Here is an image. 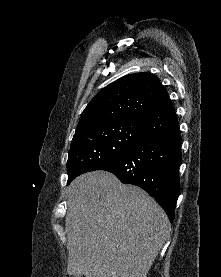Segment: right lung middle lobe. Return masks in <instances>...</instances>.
Masks as SVG:
<instances>
[{
    "label": "right lung middle lobe",
    "instance_id": "1",
    "mask_svg": "<svg viewBox=\"0 0 221 277\" xmlns=\"http://www.w3.org/2000/svg\"><path fill=\"white\" fill-rule=\"evenodd\" d=\"M139 134L138 121L95 126L72 139L67 162L68 184L78 175L120 159Z\"/></svg>",
    "mask_w": 221,
    "mask_h": 277
}]
</instances>
